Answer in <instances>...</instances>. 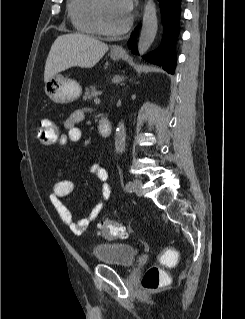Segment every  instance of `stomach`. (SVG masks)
Listing matches in <instances>:
<instances>
[{"label": "stomach", "instance_id": "1", "mask_svg": "<svg viewBox=\"0 0 245 319\" xmlns=\"http://www.w3.org/2000/svg\"><path fill=\"white\" fill-rule=\"evenodd\" d=\"M110 57L119 60L122 54L111 52ZM81 91V86L76 80L58 73L45 82V93L57 104H66L78 99Z\"/></svg>", "mask_w": 245, "mask_h": 319}]
</instances>
